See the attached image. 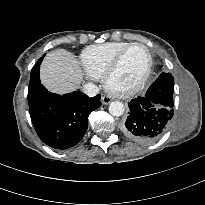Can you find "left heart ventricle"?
<instances>
[{"label": "left heart ventricle", "mask_w": 205, "mask_h": 205, "mask_svg": "<svg viewBox=\"0 0 205 205\" xmlns=\"http://www.w3.org/2000/svg\"><path fill=\"white\" fill-rule=\"evenodd\" d=\"M148 54L142 47H133L123 57L120 66L111 79L117 88L134 85L144 74L148 66Z\"/></svg>", "instance_id": "left-heart-ventricle-1"}]
</instances>
